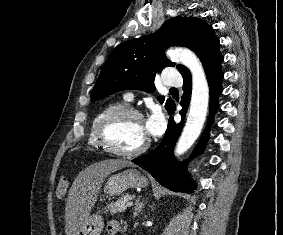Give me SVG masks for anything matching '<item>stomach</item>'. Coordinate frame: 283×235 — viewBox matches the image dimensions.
Returning <instances> with one entry per match:
<instances>
[{
	"instance_id": "0dacf381",
	"label": "stomach",
	"mask_w": 283,
	"mask_h": 235,
	"mask_svg": "<svg viewBox=\"0 0 283 235\" xmlns=\"http://www.w3.org/2000/svg\"><path fill=\"white\" fill-rule=\"evenodd\" d=\"M148 179L136 169H126L112 174L106 180L104 193L110 196L122 194L129 188L145 187ZM104 228V221L100 214L93 213L84 221L81 228L82 235H100Z\"/></svg>"
}]
</instances>
